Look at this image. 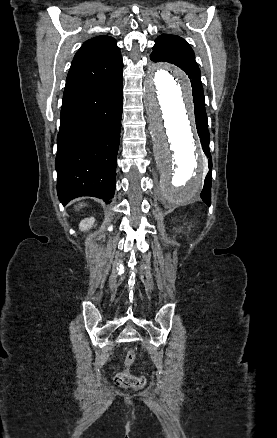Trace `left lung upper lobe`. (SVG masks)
<instances>
[{"label": "left lung upper lobe", "mask_w": 277, "mask_h": 438, "mask_svg": "<svg viewBox=\"0 0 277 438\" xmlns=\"http://www.w3.org/2000/svg\"><path fill=\"white\" fill-rule=\"evenodd\" d=\"M150 58L154 62L165 61L177 65L189 76L193 91L194 111L205 112V101L200 69L189 44L177 35L163 34L155 40Z\"/></svg>", "instance_id": "1"}]
</instances>
